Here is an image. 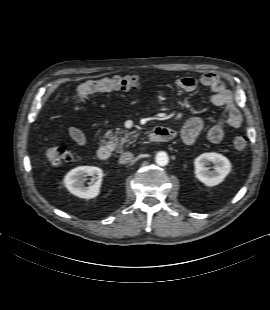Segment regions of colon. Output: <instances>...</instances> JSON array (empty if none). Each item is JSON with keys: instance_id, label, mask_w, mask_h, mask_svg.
Instances as JSON below:
<instances>
[{"instance_id": "1", "label": "colon", "mask_w": 270, "mask_h": 310, "mask_svg": "<svg viewBox=\"0 0 270 310\" xmlns=\"http://www.w3.org/2000/svg\"><path fill=\"white\" fill-rule=\"evenodd\" d=\"M139 83L137 76L112 77L99 81H88L78 86L73 95V102L80 104L95 91H112V90H130L135 88ZM248 145L246 135H238L233 139V146L236 150L242 151ZM46 157L54 165H60L71 160L70 153L63 147H51L46 151Z\"/></svg>"}]
</instances>
